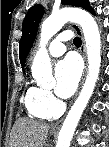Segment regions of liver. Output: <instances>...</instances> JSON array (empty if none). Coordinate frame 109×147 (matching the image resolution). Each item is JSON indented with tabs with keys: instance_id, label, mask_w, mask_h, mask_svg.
<instances>
[{
	"instance_id": "6515ba94",
	"label": "liver",
	"mask_w": 109,
	"mask_h": 147,
	"mask_svg": "<svg viewBox=\"0 0 109 147\" xmlns=\"http://www.w3.org/2000/svg\"><path fill=\"white\" fill-rule=\"evenodd\" d=\"M48 132V124L27 118H18L11 131L9 147H43Z\"/></svg>"
}]
</instances>
